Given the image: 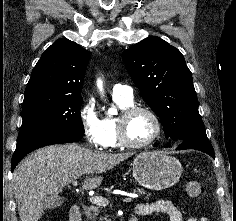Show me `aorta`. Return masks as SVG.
Here are the masks:
<instances>
[{"mask_svg": "<svg viewBox=\"0 0 236 221\" xmlns=\"http://www.w3.org/2000/svg\"><path fill=\"white\" fill-rule=\"evenodd\" d=\"M108 113L111 114V115H115V114H117V110L115 108H110L108 110Z\"/></svg>", "mask_w": 236, "mask_h": 221, "instance_id": "1", "label": "aorta"}]
</instances>
